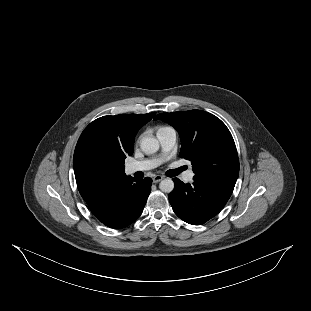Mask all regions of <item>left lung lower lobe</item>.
Returning a JSON list of instances; mask_svg holds the SVG:
<instances>
[{
	"label": "left lung lower lobe",
	"mask_w": 311,
	"mask_h": 311,
	"mask_svg": "<svg viewBox=\"0 0 311 311\" xmlns=\"http://www.w3.org/2000/svg\"><path fill=\"white\" fill-rule=\"evenodd\" d=\"M174 190L169 201L175 214L192 225H201L214 217L227 203L235 183L194 179L185 184L178 178L173 179Z\"/></svg>",
	"instance_id": "0a47b994"
}]
</instances>
